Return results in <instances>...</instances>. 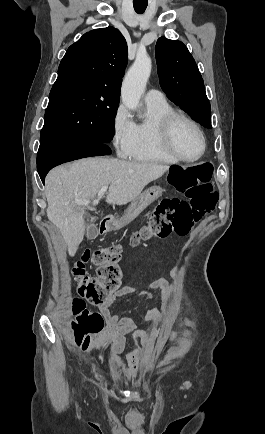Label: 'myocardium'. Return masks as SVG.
Masks as SVG:
<instances>
[{
  "label": "myocardium",
  "mask_w": 265,
  "mask_h": 434,
  "mask_svg": "<svg viewBox=\"0 0 265 434\" xmlns=\"http://www.w3.org/2000/svg\"><path fill=\"white\" fill-rule=\"evenodd\" d=\"M180 122L187 123L190 125L199 135L201 142H202V151L201 153L193 159H187L181 156L179 153L175 141L174 136L176 134V127ZM163 141L164 144L168 150V152L178 161L185 164H195L203 159L207 152L208 148V142L207 138L200 128V126L197 124L196 121H194L192 118L188 117L185 114L179 113V112H172L170 113L164 120L163 123Z\"/></svg>",
  "instance_id": "f54148a6"
}]
</instances>
